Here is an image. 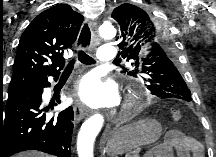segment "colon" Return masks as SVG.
I'll use <instances>...</instances> for the list:
<instances>
[{
  "instance_id": "5ec220e1",
  "label": "colon",
  "mask_w": 216,
  "mask_h": 157,
  "mask_svg": "<svg viewBox=\"0 0 216 157\" xmlns=\"http://www.w3.org/2000/svg\"><path fill=\"white\" fill-rule=\"evenodd\" d=\"M171 114H172V118H173V120H174L175 122H178V121H180V120L182 119V113H181V111L178 110V109H173V110L171 111Z\"/></svg>"
}]
</instances>
